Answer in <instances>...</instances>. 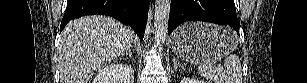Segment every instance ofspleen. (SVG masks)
<instances>
[{"mask_svg": "<svg viewBox=\"0 0 307 83\" xmlns=\"http://www.w3.org/2000/svg\"><path fill=\"white\" fill-rule=\"evenodd\" d=\"M198 72L214 83H242L241 62L235 54L225 58L224 67H216L214 62L206 61L199 65Z\"/></svg>", "mask_w": 307, "mask_h": 83, "instance_id": "1", "label": "spleen"}]
</instances>
